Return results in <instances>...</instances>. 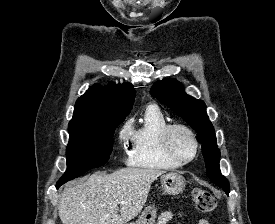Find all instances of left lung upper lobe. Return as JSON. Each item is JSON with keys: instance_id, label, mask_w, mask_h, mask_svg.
Instances as JSON below:
<instances>
[{"instance_id": "obj_1", "label": "left lung upper lobe", "mask_w": 275, "mask_h": 224, "mask_svg": "<svg viewBox=\"0 0 275 224\" xmlns=\"http://www.w3.org/2000/svg\"><path fill=\"white\" fill-rule=\"evenodd\" d=\"M150 92L153 97L180 115L203 138L202 153L207 176L224 191L229 190V182L220 171V151L213 125L206 114L205 103L186 95L181 84L174 79L157 81Z\"/></svg>"}]
</instances>
